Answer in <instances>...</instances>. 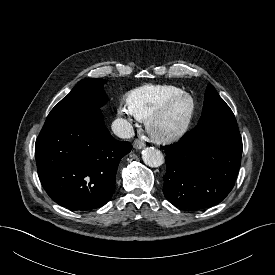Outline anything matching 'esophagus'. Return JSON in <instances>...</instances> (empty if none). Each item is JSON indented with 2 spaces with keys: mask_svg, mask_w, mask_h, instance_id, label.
<instances>
[{
  "mask_svg": "<svg viewBox=\"0 0 275 275\" xmlns=\"http://www.w3.org/2000/svg\"><path fill=\"white\" fill-rule=\"evenodd\" d=\"M133 146L135 149H143L145 147V143L139 139H136L134 142H133Z\"/></svg>",
  "mask_w": 275,
  "mask_h": 275,
  "instance_id": "1",
  "label": "esophagus"
}]
</instances>
